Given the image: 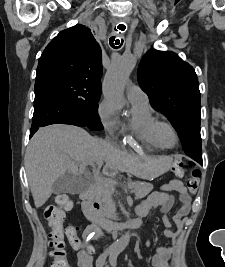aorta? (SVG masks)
Returning a JSON list of instances; mask_svg holds the SVG:
<instances>
[{"mask_svg":"<svg viewBox=\"0 0 225 267\" xmlns=\"http://www.w3.org/2000/svg\"><path fill=\"white\" fill-rule=\"evenodd\" d=\"M136 59L133 56H120L115 59L106 73L103 85L105 99L115 107L121 108L125 105L124 87L130 73L134 69ZM120 210L128 218L129 213L123 204L118 201ZM130 234L126 233L112 244L116 251H122L129 243Z\"/></svg>","mask_w":225,"mask_h":267,"instance_id":"aorta-1","label":"aorta"}]
</instances>
